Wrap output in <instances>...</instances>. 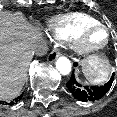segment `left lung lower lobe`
Instances as JSON below:
<instances>
[{"label": "left lung lower lobe", "instance_id": "0a47b994", "mask_svg": "<svg viewBox=\"0 0 117 117\" xmlns=\"http://www.w3.org/2000/svg\"><path fill=\"white\" fill-rule=\"evenodd\" d=\"M113 78L114 73L112 74L111 79L102 86H82L76 81L74 73H72L71 78L67 82L66 86L76 99L83 102H93L101 99L108 92L113 83Z\"/></svg>", "mask_w": 117, "mask_h": 117}]
</instances>
